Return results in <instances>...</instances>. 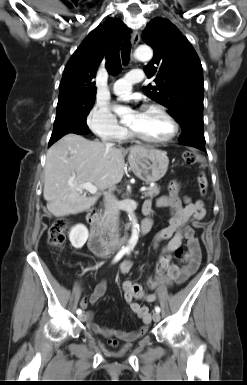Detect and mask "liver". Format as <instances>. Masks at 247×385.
<instances>
[{
	"instance_id": "1",
	"label": "liver",
	"mask_w": 247,
	"mask_h": 385,
	"mask_svg": "<svg viewBox=\"0 0 247 385\" xmlns=\"http://www.w3.org/2000/svg\"><path fill=\"white\" fill-rule=\"evenodd\" d=\"M126 152L69 133L46 154L43 197L55 217L78 214L93 206L99 194L87 197L72 185L91 182L99 191L118 184L124 174Z\"/></svg>"
}]
</instances>
